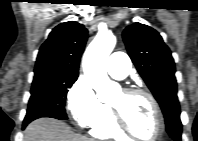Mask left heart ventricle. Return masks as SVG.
Returning <instances> with one entry per match:
<instances>
[{"label":"left heart ventricle","instance_id":"b2bd125f","mask_svg":"<svg viewBox=\"0 0 198 141\" xmlns=\"http://www.w3.org/2000/svg\"><path fill=\"white\" fill-rule=\"evenodd\" d=\"M110 105L123 115L129 128L140 138L150 139L156 132V120L150 101L143 95L118 92Z\"/></svg>","mask_w":198,"mask_h":141}]
</instances>
